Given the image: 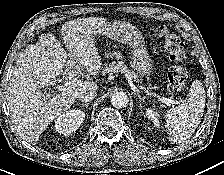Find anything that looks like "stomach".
I'll use <instances>...</instances> for the list:
<instances>
[{"instance_id": "0dacf381", "label": "stomach", "mask_w": 224, "mask_h": 175, "mask_svg": "<svg viewBox=\"0 0 224 175\" xmlns=\"http://www.w3.org/2000/svg\"><path fill=\"white\" fill-rule=\"evenodd\" d=\"M104 35L122 44L129 45L132 50L131 65L142 76H149L152 63L147 51L143 47L140 32L130 23L122 21L107 22L94 32L93 36ZM108 57V55H106Z\"/></svg>"}]
</instances>
